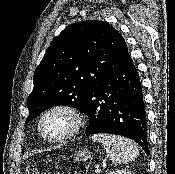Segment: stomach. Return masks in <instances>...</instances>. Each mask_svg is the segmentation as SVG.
Instances as JSON below:
<instances>
[{"label": "stomach", "instance_id": "stomach-1", "mask_svg": "<svg viewBox=\"0 0 175 174\" xmlns=\"http://www.w3.org/2000/svg\"><path fill=\"white\" fill-rule=\"evenodd\" d=\"M91 157V152L88 150H79L74 154L75 161H86Z\"/></svg>", "mask_w": 175, "mask_h": 174}]
</instances>
